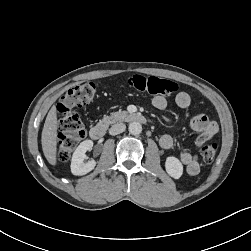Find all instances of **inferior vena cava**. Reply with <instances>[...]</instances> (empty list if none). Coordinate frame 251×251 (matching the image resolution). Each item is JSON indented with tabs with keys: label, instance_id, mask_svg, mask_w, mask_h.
<instances>
[{
	"label": "inferior vena cava",
	"instance_id": "602c4592",
	"mask_svg": "<svg viewBox=\"0 0 251 251\" xmlns=\"http://www.w3.org/2000/svg\"><path fill=\"white\" fill-rule=\"evenodd\" d=\"M126 129V126L124 123H116L112 125V127L109 129V134L110 135H117L122 132H124Z\"/></svg>",
	"mask_w": 251,
	"mask_h": 251
}]
</instances>
